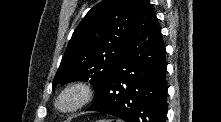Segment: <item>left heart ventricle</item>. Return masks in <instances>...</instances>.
I'll list each match as a JSON object with an SVG mask.
<instances>
[{
	"label": "left heart ventricle",
	"mask_w": 221,
	"mask_h": 122,
	"mask_svg": "<svg viewBox=\"0 0 221 122\" xmlns=\"http://www.w3.org/2000/svg\"><path fill=\"white\" fill-rule=\"evenodd\" d=\"M66 103H70V100H67Z\"/></svg>",
	"instance_id": "1"
}]
</instances>
